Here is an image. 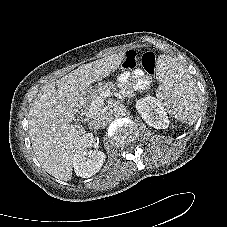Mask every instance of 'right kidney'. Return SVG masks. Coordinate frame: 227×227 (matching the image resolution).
<instances>
[{
    "label": "right kidney",
    "mask_w": 227,
    "mask_h": 227,
    "mask_svg": "<svg viewBox=\"0 0 227 227\" xmlns=\"http://www.w3.org/2000/svg\"><path fill=\"white\" fill-rule=\"evenodd\" d=\"M98 143V139L91 133H87L78 143L73 157V167L77 176L89 178L101 169L106 155L98 150ZM92 147L96 149L91 151Z\"/></svg>",
    "instance_id": "obj_1"
}]
</instances>
